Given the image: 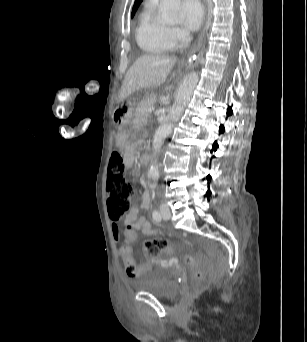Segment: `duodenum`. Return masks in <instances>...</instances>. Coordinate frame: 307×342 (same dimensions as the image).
Segmentation results:
<instances>
[{
  "label": "duodenum",
  "instance_id": "1",
  "mask_svg": "<svg viewBox=\"0 0 307 342\" xmlns=\"http://www.w3.org/2000/svg\"><path fill=\"white\" fill-rule=\"evenodd\" d=\"M149 161V158L146 154H143L141 157H140V162L142 165H146Z\"/></svg>",
  "mask_w": 307,
  "mask_h": 342
}]
</instances>
